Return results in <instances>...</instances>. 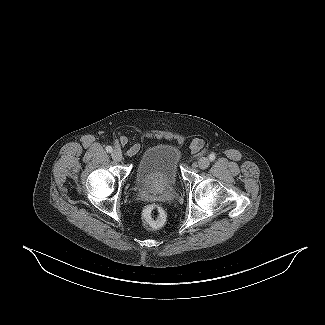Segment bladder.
<instances>
[{
	"mask_svg": "<svg viewBox=\"0 0 325 325\" xmlns=\"http://www.w3.org/2000/svg\"><path fill=\"white\" fill-rule=\"evenodd\" d=\"M180 151L171 144H156L141 156L135 171L142 186L171 187L179 176Z\"/></svg>",
	"mask_w": 325,
	"mask_h": 325,
	"instance_id": "obj_1",
	"label": "bladder"
}]
</instances>
